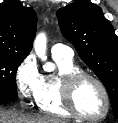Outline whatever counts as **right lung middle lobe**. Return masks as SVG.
I'll use <instances>...</instances> for the list:
<instances>
[{
  "label": "right lung middle lobe",
  "mask_w": 118,
  "mask_h": 123,
  "mask_svg": "<svg viewBox=\"0 0 118 123\" xmlns=\"http://www.w3.org/2000/svg\"><path fill=\"white\" fill-rule=\"evenodd\" d=\"M25 57L0 53V99L15 100L16 72Z\"/></svg>",
  "instance_id": "1"
}]
</instances>
